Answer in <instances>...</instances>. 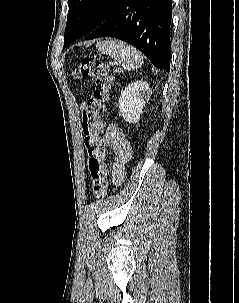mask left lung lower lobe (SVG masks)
Masks as SVG:
<instances>
[{
  "instance_id": "0a47b994",
  "label": "left lung lower lobe",
  "mask_w": 239,
  "mask_h": 303,
  "mask_svg": "<svg viewBox=\"0 0 239 303\" xmlns=\"http://www.w3.org/2000/svg\"><path fill=\"white\" fill-rule=\"evenodd\" d=\"M171 0H121L85 39L114 37L139 49L160 69L170 70Z\"/></svg>"
}]
</instances>
